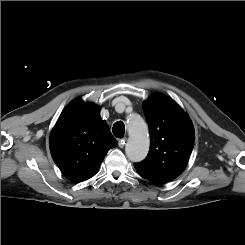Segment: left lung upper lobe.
<instances>
[{"mask_svg": "<svg viewBox=\"0 0 245 245\" xmlns=\"http://www.w3.org/2000/svg\"><path fill=\"white\" fill-rule=\"evenodd\" d=\"M143 111L150 130V149L134 167L148 177L172 181L184 171L193 150L192 121L174 100L161 94L145 101Z\"/></svg>", "mask_w": 245, "mask_h": 245, "instance_id": "5c2ea615", "label": "left lung upper lobe"}]
</instances>
